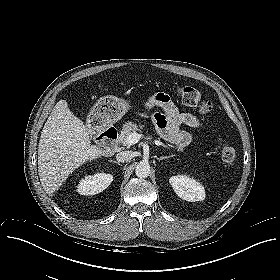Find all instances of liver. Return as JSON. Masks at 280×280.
Listing matches in <instances>:
<instances>
[{
	"mask_svg": "<svg viewBox=\"0 0 280 280\" xmlns=\"http://www.w3.org/2000/svg\"><path fill=\"white\" fill-rule=\"evenodd\" d=\"M90 134L66 100L56 103L38 145V172L46 193L53 194L75 169L104 155V150L91 145Z\"/></svg>",
	"mask_w": 280,
	"mask_h": 280,
	"instance_id": "liver-1",
	"label": "liver"
}]
</instances>
